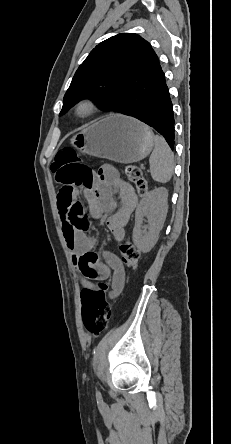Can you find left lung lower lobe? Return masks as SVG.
<instances>
[{"instance_id":"obj_1","label":"left lung lower lobe","mask_w":231,"mask_h":444,"mask_svg":"<svg viewBox=\"0 0 231 444\" xmlns=\"http://www.w3.org/2000/svg\"><path fill=\"white\" fill-rule=\"evenodd\" d=\"M156 129L173 150L174 115L165 75L158 58L140 77L139 84L119 111Z\"/></svg>"}]
</instances>
